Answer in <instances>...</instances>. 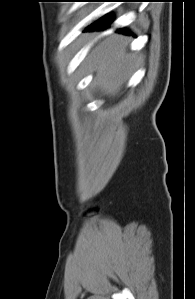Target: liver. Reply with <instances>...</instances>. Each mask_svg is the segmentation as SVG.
Segmentation results:
<instances>
[{"instance_id": "1", "label": "liver", "mask_w": 195, "mask_h": 299, "mask_svg": "<svg viewBox=\"0 0 195 299\" xmlns=\"http://www.w3.org/2000/svg\"><path fill=\"white\" fill-rule=\"evenodd\" d=\"M135 61L136 55L128 51V41L116 34L100 41L87 56L97 88L113 96L130 77Z\"/></svg>"}]
</instances>
